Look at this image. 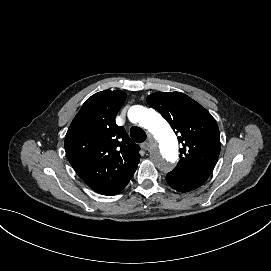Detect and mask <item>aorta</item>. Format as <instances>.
<instances>
[{"label": "aorta", "instance_id": "obj_1", "mask_svg": "<svg viewBox=\"0 0 271 271\" xmlns=\"http://www.w3.org/2000/svg\"><path fill=\"white\" fill-rule=\"evenodd\" d=\"M131 121L138 123L153 135L152 161L161 171H169L178 160V142L164 118L155 110L135 106Z\"/></svg>", "mask_w": 271, "mask_h": 271}]
</instances>
